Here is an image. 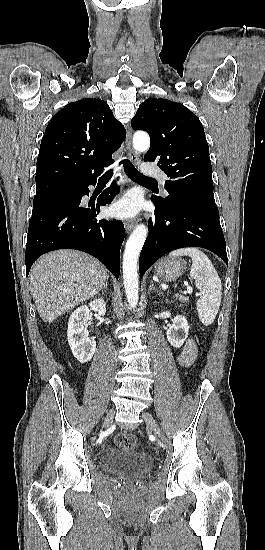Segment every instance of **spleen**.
Here are the masks:
<instances>
[{
	"instance_id": "3e777b00",
	"label": "spleen",
	"mask_w": 265,
	"mask_h": 550,
	"mask_svg": "<svg viewBox=\"0 0 265 550\" xmlns=\"http://www.w3.org/2000/svg\"><path fill=\"white\" fill-rule=\"evenodd\" d=\"M183 255L190 256L193 261L190 276L195 279V285L200 291V298L196 302L199 319L203 325H211L221 303L220 277L207 255L198 248H181L169 254V256Z\"/></svg>"
}]
</instances>
